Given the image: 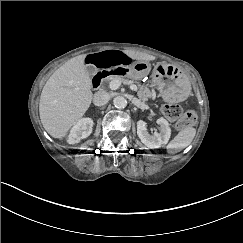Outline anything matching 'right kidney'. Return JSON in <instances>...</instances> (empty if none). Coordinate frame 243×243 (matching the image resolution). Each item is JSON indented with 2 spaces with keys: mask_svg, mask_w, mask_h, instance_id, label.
I'll return each mask as SVG.
<instances>
[{
  "mask_svg": "<svg viewBox=\"0 0 243 243\" xmlns=\"http://www.w3.org/2000/svg\"><path fill=\"white\" fill-rule=\"evenodd\" d=\"M92 120L90 118L80 119L70 131L67 142L69 144L79 143L84 138L86 131L91 127Z\"/></svg>",
  "mask_w": 243,
  "mask_h": 243,
  "instance_id": "right-kidney-1",
  "label": "right kidney"
}]
</instances>
